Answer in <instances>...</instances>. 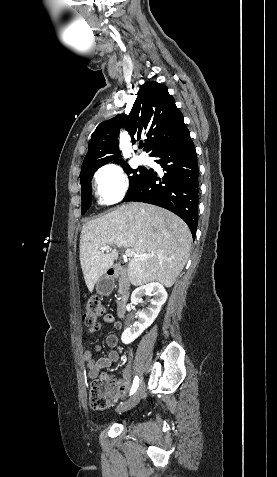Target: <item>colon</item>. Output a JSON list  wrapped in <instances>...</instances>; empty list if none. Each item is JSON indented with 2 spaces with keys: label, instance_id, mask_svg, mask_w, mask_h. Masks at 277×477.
<instances>
[{
  "label": "colon",
  "instance_id": "obj_1",
  "mask_svg": "<svg viewBox=\"0 0 277 477\" xmlns=\"http://www.w3.org/2000/svg\"><path fill=\"white\" fill-rule=\"evenodd\" d=\"M104 308L97 297L89 299L82 312V321L89 328L97 324L103 316ZM124 386H118V392L123 393ZM118 395L113 391L111 384L104 378L96 379L91 383L89 392V404L95 411H103L110 408L117 401Z\"/></svg>",
  "mask_w": 277,
  "mask_h": 477
}]
</instances>
